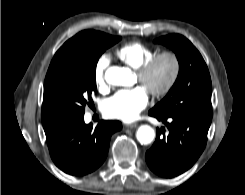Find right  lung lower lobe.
Masks as SVG:
<instances>
[{"label": "right lung lower lobe", "mask_w": 245, "mask_h": 195, "mask_svg": "<svg viewBox=\"0 0 245 195\" xmlns=\"http://www.w3.org/2000/svg\"><path fill=\"white\" fill-rule=\"evenodd\" d=\"M119 121H100L95 129L84 116L45 132L53 162L67 174L83 176L96 170L106 159L111 135L119 131Z\"/></svg>", "instance_id": "right-lung-lower-lobe-1"}]
</instances>
